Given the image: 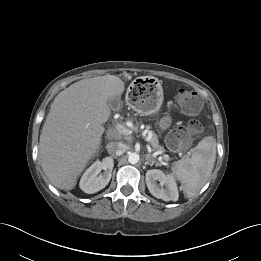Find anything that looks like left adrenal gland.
<instances>
[{
    "instance_id": "obj_1",
    "label": "left adrenal gland",
    "mask_w": 261,
    "mask_h": 261,
    "mask_svg": "<svg viewBox=\"0 0 261 261\" xmlns=\"http://www.w3.org/2000/svg\"><path fill=\"white\" fill-rule=\"evenodd\" d=\"M145 160H146V164H148V165L152 166L154 164V161L150 158L149 154H146Z\"/></svg>"
}]
</instances>
